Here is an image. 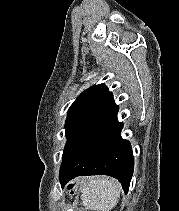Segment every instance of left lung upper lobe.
I'll return each mask as SVG.
<instances>
[{
    "mask_svg": "<svg viewBox=\"0 0 179 211\" xmlns=\"http://www.w3.org/2000/svg\"><path fill=\"white\" fill-rule=\"evenodd\" d=\"M113 102V94L104 84L88 88L73 102L65 123L67 142L60 172L71 161L98 117Z\"/></svg>",
    "mask_w": 179,
    "mask_h": 211,
    "instance_id": "left-lung-upper-lobe-1",
    "label": "left lung upper lobe"
}]
</instances>
